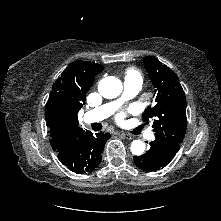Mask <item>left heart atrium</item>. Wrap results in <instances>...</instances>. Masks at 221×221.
I'll return each mask as SVG.
<instances>
[{
    "label": "left heart atrium",
    "mask_w": 221,
    "mask_h": 221,
    "mask_svg": "<svg viewBox=\"0 0 221 221\" xmlns=\"http://www.w3.org/2000/svg\"><path fill=\"white\" fill-rule=\"evenodd\" d=\"M123 118H124V114L123 113L119 114L118 117H117L118 121H122Z\"/></svg>",
    "instance_id": "left-heart-atrium-1"
}]
</instances>
